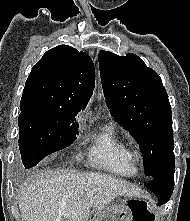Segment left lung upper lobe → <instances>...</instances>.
<instances>
[{
  "mask_svg": "<svg viewBox=\"0 0 190 221\" xmlns=\"http://www.w3.org/2000/svg\"><path fill=\"white\" fill-rule=\"evenodd\" d=\"M107 106L139 144L150 180L174 160L171 107L159 75L135 54L100 51Z\"/></svg>",
  "mask_w": 190,
  "mask_h": 221,
  "instance_id": "1",
  "label": "left lung upper lobe"
}]
</instances>
